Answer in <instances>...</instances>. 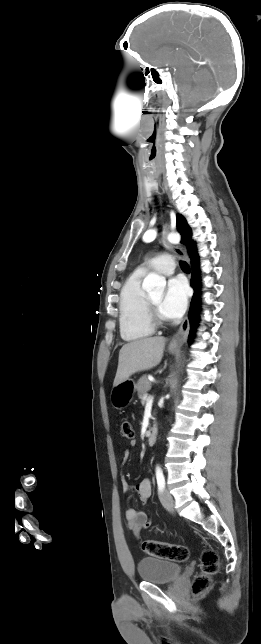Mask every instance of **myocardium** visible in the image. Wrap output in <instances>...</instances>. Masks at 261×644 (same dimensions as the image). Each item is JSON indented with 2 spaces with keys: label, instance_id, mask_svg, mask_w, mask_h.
Segmentation results:
<instances>
[{
  "label": "myocardium",
  "instance_id": "1",
  "mask_svg": "<svg viewBox=\"0 0 261 644\" xmlns=\"http://www.w3.org/2000/svg\"><path fill=\"white\" fill-rule=\"evenodd\" d=\"M147 312H148V317L154 327L157 326H162L167 323V319L163 317L157 307L154 305L152 302L150 296H147Z\"/></svg>",
  "mask_w": 261,
  "mask_h": 644
}]
</instances>
